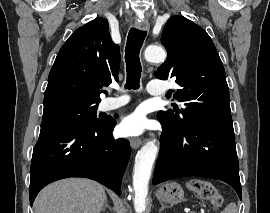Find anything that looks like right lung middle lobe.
<instances>
[{
  "mask_svg": "<svg viewBox=\"0 0 270 213\" xmlns=\"http://www.w3.org/2000/svg\"><path fill=\"white\" fill-rule=\"evenodd\" d=\"M97 104L77 100L56 102L44 106L42 122L69 121L83 125L98 126L104 120L96 118Z\"/></svg>",
  "mask_w": 270,
  "mask_h": 213,
  "instance_id": "1",
  "label": "right lung middle lobe"
}]
</instances>
